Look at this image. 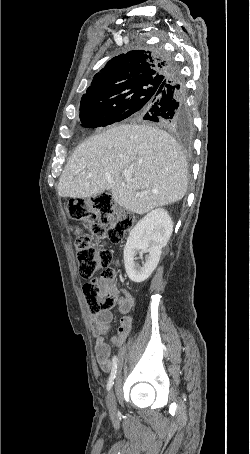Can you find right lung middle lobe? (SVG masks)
<instances>
[{"instance_id":"1","label":"right lung middle lobe","mask_w":250,"mask_h":454,"mask_svg":"<svg viewBox=\"0 0 250 454\" xmlns=\"http://www.w3.org/2000/svg\"><path fill=\"white\" fill-rule=\"evenodd\" d=\"M160 84L148 83L113 100L80 105L81 126L104 127L139 114L157 98ZM158 92V93H157ZM157 93V94H156Z\"/></svg>"}]
</instances>
